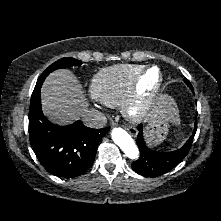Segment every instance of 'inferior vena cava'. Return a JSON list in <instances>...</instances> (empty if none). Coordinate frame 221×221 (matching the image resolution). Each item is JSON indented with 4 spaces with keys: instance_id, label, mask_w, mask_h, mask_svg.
Listing matches in <instances>:
<instances>
[{
    "instance_id": "602c4592",
    "label": "inferior vena cava",
    "mask_w": 221,
    "mask_h": 221,
    "mask_svg": "<svg viewBox=\"0 0 221 221\" xmlns=\"http://www.w3.org/2000/svg\"><path fill=\"white\" fill-rule=\"evenodd\" d=\"M82 121L86 126L92 128H103L107 123L106 117L97 110H87L82 115Z\"/></svg>"
}]
</instances>
